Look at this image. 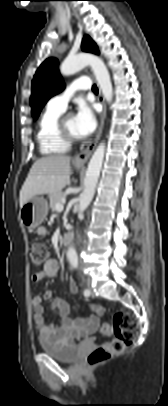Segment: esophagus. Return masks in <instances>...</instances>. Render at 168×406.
Masks as SVG:
<instances>
[{
	"label": "esophagus",
	"instance_id": "obj_1",
	"mask_svg": "<svg viewBox=\"0 0 168 406\" xmlns=\"http://www.w3.org/2000/svg\"><path fill=\"white\" fill-rule=\"evenodd\" d=\"M86 70L89 75L93 76L92 70L90 67H87ZM98 101L102 105V112L100 115L99 127H98L96 136L93 139V141L84 150H82L80 153L75 155L73 161H74V163L79 164V165H84L89 160L92 152L94 151V149L101 137L102 131H103L104 121H105V117H106V105H105L104 98L101 94L100 89H99V93H98Z\"/></svg>",
	"mask_w": 168,
	"mask_h": 406
}]
</instances>
